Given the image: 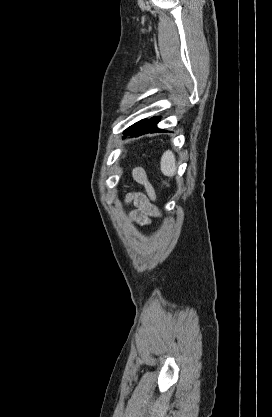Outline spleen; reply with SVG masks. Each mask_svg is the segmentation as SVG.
Instances as JSON below:
<instances>
[{
  "label": "spleen",
  "mask_w": 272,
  "mask_h": 417,
  "mask_svg": "<svg viewBox=\"0 0 272 417\" xmlns=\"http://www.w3.org/2000/svg\"><path fill=\"white\" fill-rule=\"evenodd\" d=\"M161 172L168 177H172L176 173V159L172 151H165L161 157Z\"/></svg>",
  "instance_id": "spleen-1"
}]
</instances>
